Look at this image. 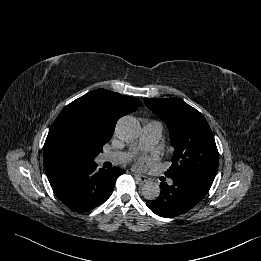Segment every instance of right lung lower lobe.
Masks as SVG:
<instances>
[{
  "instance_id": "right-lung-lower-lobe-1",
  "label": "right lung lower lobe",
  "mask_w": 261,
  "mask_h": 261,
  "mask_svg": "<svg viewBox=\"0 0 261 261\" xmlns=\"http://www.w3.org/2000/svg\"><path fill=\"white\" fill-rule=\"evenodd\" d=\"M123 173L125 170L117 167L97 170L93 161L57 170L47 177L58 199L82 213L104 203L112 194L116 179Z\"/></svg>"
}]
</instances>
